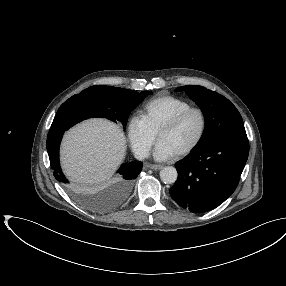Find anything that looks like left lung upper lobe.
<instances>
[{"label":"left lung upper lobe","mask_w":286,"mask_h":286,"mask_svg":"<svg viewBox=\"0 0 286 286\" xmlns=\"http://www.w3.org/2000/svg\"><path fill=\"white\" fill-rule=\"evenodd\" d=\"M182 90H186V94L200 107L205 116V130L195 147L218 138L247 139L242 117L227 98L197 85H187L176 89V91Z\"/></svg>","instance_id":"obj_1"}]
</instances>
